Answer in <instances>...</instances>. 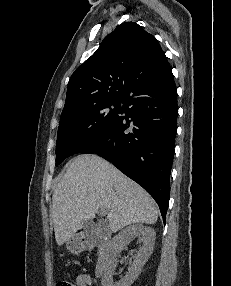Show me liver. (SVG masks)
<instances>
[{"instance_id":"1","label":"liver","mask_w":231,"mask_h":286,"mask_svg":"<svg viewBox=\"0 0 231 286\" xmlns=\"http://www.w3.org/2000/svg\"><path fill=\"white\" fill-rule=\"evenodd\" d=\"M107 211L111 232L131 224H154L158 207L137 183L96 155L73 158L52 196L55 239L63 245L93 219L98 209Z\"/></svg>"}]
</instances>
